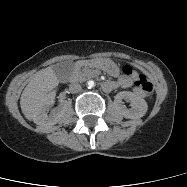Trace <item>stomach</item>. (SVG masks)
Instances as JSON below:
<instances>
[{
	"mask_svg": "<svg viewBox=\"0 0 187 187\" xmlns=\"http://www.w3.org/2000/svg\"><path fill=\"white\" fill-rule=\"evenodd\" d=\"M89 63L93 67L99 68L112 76L119 75V67L114 61H112L109 58L97 57V58L91 59Z\"/></svg>",
	"mask_w": 187,
	"mask_h": 187,
	"instance_id": "obj_1",
	"label": "stomach"
}]
</instances>
